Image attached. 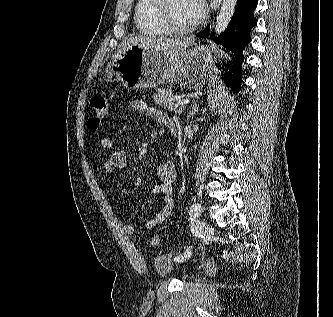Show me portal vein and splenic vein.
I'll list each match as a JSON object with an SVG mask.
<instances>
[{"label": "portal vein and splenic vein", "instance_id": "obj_1", "mask_svg": "<svg viewBox=\"0 0 333 317\" xmlns=\"http://www.w3.org/2000/svg\"><path fill=\"white\" fill-rule=\"evenodd\" d=\"M171 100H176L179 105H186L189 103L188 99L185 98H178V97H172Z\"/></svg>", "mask_w": 333, "mask_h": 317}]
</instances>
